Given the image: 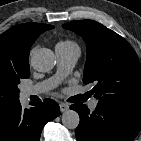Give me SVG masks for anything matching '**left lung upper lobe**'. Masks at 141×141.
<instances>
[{
    "instance_id": "5c2ea615",
    "label": "left lung upper lobe",
    "mask_w": 141,
    "mask_h": 141,
    "mask_svg": "<svg viewBox=\"0 0 141 141\" xmlns=\"http://www.w3.org/2000/svg\"><path fill=\"white\" fill-rule=\"evenodd\" d=\"M63 28L86 42L83 82L96 84L92 93L99 103L141 110V66L130 44L93 20L72 21Z\"/></svg>"
}]
</instances>
